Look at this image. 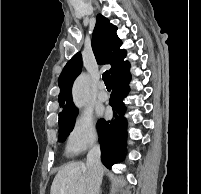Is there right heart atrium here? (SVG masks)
<instances>
[{
	"mask_svg": "<svg viewBox=\"0 0 201 194\" xmlns=\"http://www.w3.org/2000/svg\"><path fill=\"white\" fill-rule=\"evenodd\" d=\"M97 139V131L90 113L79 114L73 121L66 139L70 152H79L92 145Z\"/></svg>",
	"mask_w": 201,
	"mask_h": 194,
	"instance_id": "1",
	"label": "right heart atrium"
}]
</instances>
